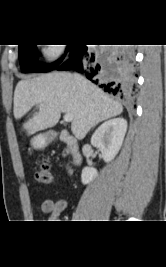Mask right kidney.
Returning a JSON list of instances; mask_svg holds the SVG:
<instances>
[{"label":"right kidney","instance_id":"ca27d5eb","mask_svg":"<svg viewBox=\"0 0 166 267\" xmlns=\"http://www.w3.org/2000/svg\"><path fill=\"white\" fill-rule=\"evenodd\" d=\"M127 131V121L124 118H114L104 122L93 134L91 144L98 148L105 162H110L119 152ZM97 176L93 167L82 170L81 181L90 183Z\"/></svg>","mask_w":166,"mask_h":267}]
</instances>
